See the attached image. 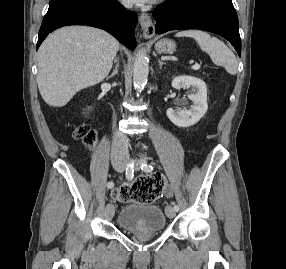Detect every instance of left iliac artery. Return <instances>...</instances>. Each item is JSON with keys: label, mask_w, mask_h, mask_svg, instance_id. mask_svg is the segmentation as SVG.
I'll use <instances>...</instances> for the list:
<instances>
[{"label": "left iliac artery", "mask_w": 286, "mask_h": 269, "mask_svg": "<svg viewBox=\"0 0 286 269\" xmlns=\"http://www.w3.org/2000/svg\"><path fill=\"white\" fill-rule=\"evenodd\" d=\"M141 169L145 172H151L153 170V167L150 164L143 163L141 164ZM172 205L175 211L179 210L178 205H176L174 202L172 203Z\"/></svg>", "instance_id": "obj_1"}]
</instances>
